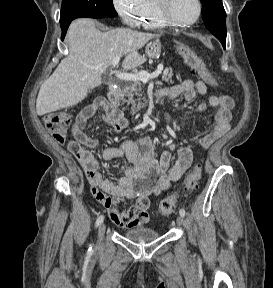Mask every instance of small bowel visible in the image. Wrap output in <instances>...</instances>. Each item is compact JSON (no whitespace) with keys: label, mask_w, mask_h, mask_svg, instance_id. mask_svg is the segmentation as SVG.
<instances>
[{"label":"small bowel","mask_w":273,"mask_h":288,"mask_svg":"<svg viewBox=\"0 0 273 288\" xmlns=\"http://www.w3.org/2000/svg\"><path fill=\"white\" fill-rule=\"evenodd\" d=\"M162 91L170 100L183 96L187 102L193 101L197 94L207 96L208 105L215 110L214 125L211 131L198 137V144L202 148H209L230 130L233 99L227 95H208L204 81L187 79ZM206 106V103H201L189 110L185 116L202 111ZM100 112L104 121L112 126L115 132L118 133L128 126V121L122 114H113L104 101H96L85 107L76 117L72 128L73 140L68 149L82 165L93 196L108 210L110 220L123 228L143 226L149 221V198L166 192L183 176L192 163V148L189 145L181 147L173 162L171 154L167 152L157 157L148 138L126 140L117 147L107 148L102 153L105 161L125 157L132 164L119 181L114 183L104 178L100 172L99 162L93 155L97 142L87 135L91 121ZM185 116L181 120L182 128ZM167 121L169 122V119ZM174 134L179 139L188 136H179L175 132ZM121 199L134 200L135 204L130 209L119 211L116 202Z\"/></svg>","instance_id":"1"}]
</instances>
